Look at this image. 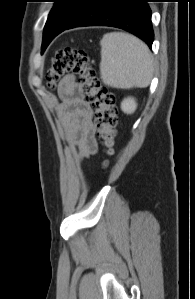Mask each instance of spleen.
I'll return each mask as SVG.
<instances>
[{
    "mask_svg": "<svg viewBox=\"0 0 195 299\" xmlns=\"http://www.w3.org/2000/svg\"><path fill=\"white\" fill-rule=\"evenodd\" d=\"M100 45V75L105 85L130 89L150 84L153 57L143 41L127 33L111 32L103 36Z\"/></svg>",
    "mask_w": 195,
    "mask_h": 299,
    "instance_id": "obj_1",
    "label": "spleen"
}]
</instances>
